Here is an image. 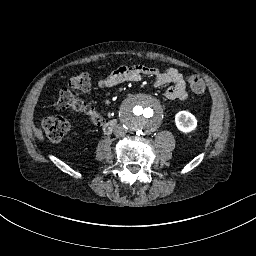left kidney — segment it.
Segmentation results:
<instances>
[{"mask_svg": "<svg viewBox=\"0 0 256 256\" xmlns=\"http://www.w3.org/2000/svg\"><path fill=\"white\" fill-rule=\"evenodd\" d=\"M175 125L184 134L192 133L197 130V119L189 111H179L175 115Z\"/></svg>", "mask_w": 256, "mask_h": 256, "instance_id": "left-kidney-1", "label": "left kidney"}]
</instances>
